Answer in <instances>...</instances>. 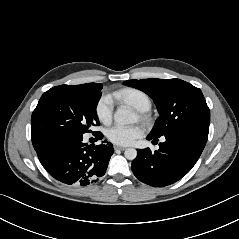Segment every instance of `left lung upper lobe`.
Wrapping results in <instances>:
<instances>
[{
    "label": "left lung upper lobe",
    "instance_id": "1",
    "mask_svg": "<svg viewBox=\"0 0 239 239\" xmlns=\"http://www.w3.org/2000/svg\"><path fill=\"white\" fill-rule=\"evenodd\" d=\"M123 84L145 92L156 104L160 117L150 136L184 132L208 137L210 111L199 88L180 79L128 80Z\"/></svg>",
    "mask_w": 239,
    "mask_h": 239
}]
</instances>
